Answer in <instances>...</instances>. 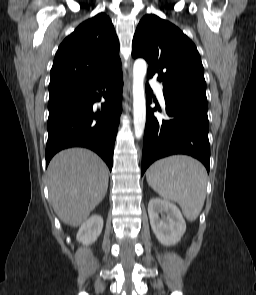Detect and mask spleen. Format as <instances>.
<instances>
[{
	"mask_svg": "<svg viewBox=\"0 0 256 295\" xmlns=\"http://www.w3.org/2000/svg\"><path fill=\"white\" fill-rule=\"evenodd\" d=\"M146 179L162 198L177 202L188 220L199 216L207 184V172L199 161L184 155L169 156L151 165Z\"/></svg>",
	"mask_w": 256,
	"mask_h": 295,
	"instance_id": "obj_1",
	"label": "spleen"
}]
</instances>
